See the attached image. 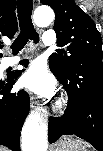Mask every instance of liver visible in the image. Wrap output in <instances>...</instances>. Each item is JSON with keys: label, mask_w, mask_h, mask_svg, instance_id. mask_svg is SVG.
Instances as JSON below:
<instances>
[{"label": "liver", "mask_w": 103, "mask_h": 151, "mask_svg": "<svg viewBox=\"0 0 103 151\" xmlns=\"http://www.w3.org/2000/svg\"><path fill=\"white\" fill-rule=\"evenodd\" d=\"M2 151H7V149L3 148V150H2Z\"/></svg>", "instance_id": "liver-1"}]
</instances>
